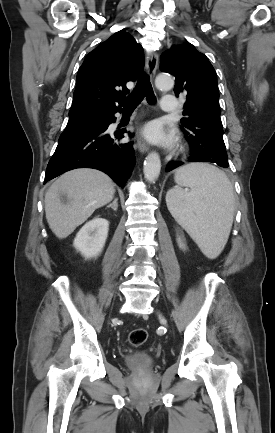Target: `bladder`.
<instances>
[{
  "label": "bladder",
  "mask_w": 275,
  "mask_h": 433,
  "mask_svg": "<svg viewBox=\"0 0 275 433\" xmlns=\"http://www.w3.org/2000/svg\"><path fill=\"white\" fill-rule=\"evenodd\" d=\"M153 361V357L147 352L131 353L125 357L127 366L131 368H148L152 366Z\"/></svg>",
  "instance_id": "1"
}]
</instances>
